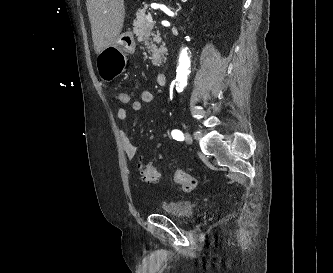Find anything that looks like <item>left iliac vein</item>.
I'll return each instance as SVG.
<instances>
[{
	"mask_svg": "<svg viewBox=\"0 0 333 273\" xmlns=\"http://www.w3.org/2000/svg\"><path fill=\"white\" fill-rule=\"evenodd\" d=\"M184 136H185V141H186L188 144H192V142H193L192 135H191L189 132H185V133H184Z\"/></svg>",
	"mask_w": 333,
	"mask_h": 273,
	"instance_id": "left-iliac-vein-1",
	"label": "left iliac vein"
}]
</instances>
